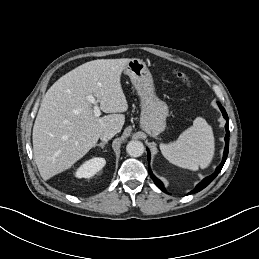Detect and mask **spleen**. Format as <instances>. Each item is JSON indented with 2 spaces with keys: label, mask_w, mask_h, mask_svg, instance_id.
<instances>
[{
  "label": "spleen",
  "mask_w": 259,
  "mask_h": 259,
  "mask_svg": "<svg viewBox=\"0 0 259 259\" xmlns=\"http://www.w3.org/2000/svg\"><path fill=\"white\" fill-rule=\"evenodd\" d=\"M163 156L172 164L196 171L211 163L215 144L211 126L197 117L193 125L183 131L178 139L169 144H160Z\"/></svg>",
  "instance_id": "spleen-1"
}]
</instances>
